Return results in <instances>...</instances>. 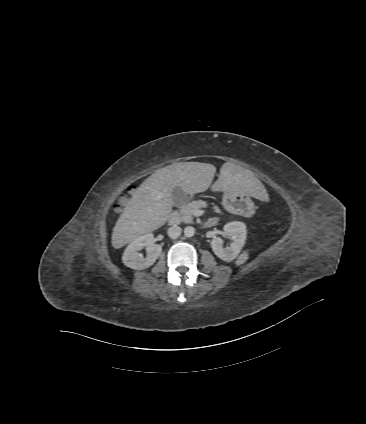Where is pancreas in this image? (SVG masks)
I'll return each mask as SVG.
<instances>
[{
  "mask_svg": "<svg viewBox=\"0 0 366 424\" xmlns=\"http://www.w3.org/2000/svg\"><path fill=\"white\" fill-rule=\"evenodd\" d=\"M207 207V203L201 200L192 201L182 206L180 210V218L184 223H193V213L195 210ZM213 212L221 214V210L217 206L212 207Z\"/></svg>",
  "mask_w": 366,
  "mask_h": 424,
  "instance_id": "1",
  "label": "pancreas"
}]
</instances>
